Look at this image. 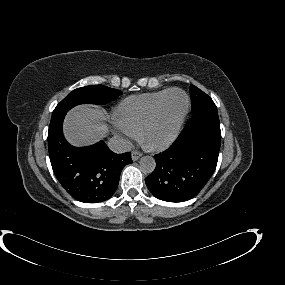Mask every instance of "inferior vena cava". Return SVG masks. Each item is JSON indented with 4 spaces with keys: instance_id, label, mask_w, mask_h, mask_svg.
I'll list each match as a JSON object with an SVG mask.
<instances>
[{
    "instance_id": "602c4592",
    "label": "inferior vena cava",
    "mask_w": 285,
    "mask_h": 285,
    "mask_svg": "<svg viewBox=\"0 0 285 285\" xmlns=\"http://www.w3.org/2000/svg\"><path fill=\"white\" fill-rule=\"evenodd\" d=\"M108 147L115 153H125L131 151L133 144L122 136H114L109 140Z\"/></svg>"
}]
</instances>
